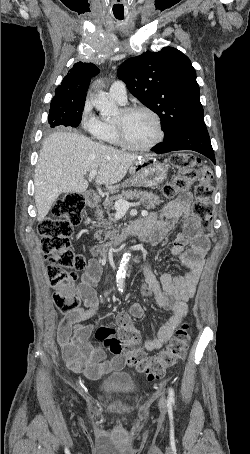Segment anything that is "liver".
Returning <instances> with one entry per match:
<instances>
[{"mask_svg": "<svg viewBox=\"0 0 250 454\" xmlns=\"http://www.w3.org/2000/svg\"><path fill=\"white\" fill-rule=\"evenodd\" d=\"M140 158L97 142L84 135L56 132L42 145L35 168L34 188L37 220L43 221L61 193H83L89 183L86 173L98 171L95 182L112 187Z\"/></svg>", "mask_w": 250, "mask_h": 454, "instance_id": "liver-1", "label": "liver"}]
</instances>
